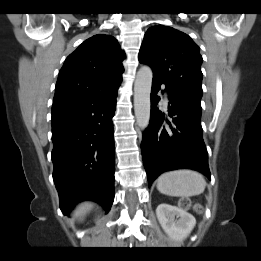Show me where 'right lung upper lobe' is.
Instances as JSON below:
<instances>
[{"label": "right lung upper lobe", "mask_w": 261, "mask_h": 261, "mask_svg": "<svg viewBox=\"0 0 261 261\" xmlns=\"http://www.w3.org/2000/svg\"><path fill=\"white\" fill-rule=\"evenodd\" d=\"M124 58L125 53L113 36L98 34L85 40L65 60L53 103L118 88Z\"/></svg>", "instance_id": "right-lung-upper-lobe-1"}]
</instances>
